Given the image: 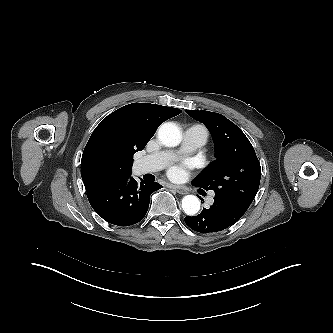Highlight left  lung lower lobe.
I'll return each mask as SVG.
<instances>
[{"label": "left lung lower lobe", "instance_id": "0a47b994", "mask_svg": "<svg viewBox=\"0 0 333 333\" xmlns=\"http://www.w3.org/2000/svg\"><path fill=\"white\" fill-rule=\"evenodd\" d=\"M247 209L237 201L215 194L214 204L209 209H203L197 216L185 217V223L197 232L215 233L233 225Z\"/></svg>", "mask_w": 333, "mask_h": 333}]
</instances>
